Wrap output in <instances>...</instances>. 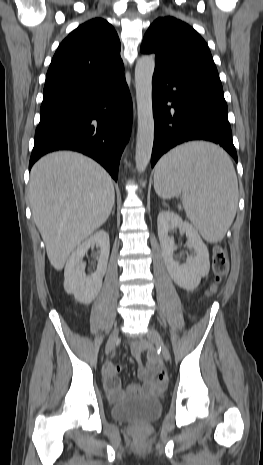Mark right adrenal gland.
I'll return each instance as SVG.
<instances>
[{
	"mask_svg": "<svg viewBox=\"0 0 263 465\" xmlns=\"http://www.w3.org/2000/svg\"><path fill=\"white\" fill-rule=\"evenodd\" d=\"M112 215H114V210L112 211Z\"/></svg>",
	"mask_w": 263,
	"mask_h": 465,
	"instance_id": "right-adrenal-gland-1",
	"label": "right adrenal gland"
}]
</instances>
